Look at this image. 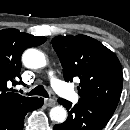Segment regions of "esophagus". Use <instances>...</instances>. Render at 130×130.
I'll list each match as a JSON object with an SVG mask.
<instances>
[{
	"instance_id": "esophagus-1",
	"label": "esophagus",
	"mask_w": 130,
	"mask_h": 130,
	"mask_svg": "<svg viewBox=\"0 0 130 130\" xmlns=\"http://www.w3.org/2000/svg\"><path fill=\"white\" fill-rule=\"evenodd\" d=\"M44 103H45L46 106L52 107V106H54L56 104V101L54 99H48V98H46L44 100Z\"/></svg>"
}]
</instances>
